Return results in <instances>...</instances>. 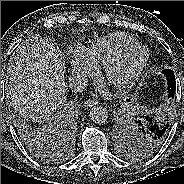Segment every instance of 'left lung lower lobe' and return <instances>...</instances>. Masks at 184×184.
<instances>
[{
	"mask_svg": "<svg viewBox=\"0 0 184 184\" xmlns=\"http://www.w3.org/2000/svg\"><path fill=\"white\" fill-rule=\"evenodd\" d=\"M163 73L167 79V84H168L167 89H168L169 97L174 98L175 90H176L174 72L170 69H165L163 70ZM135 117L145 119L148 125V129L152 131L154 134L158 135L159 137L168 136L170 128H171V123L169 122L168 117L166 116V113L165 114L163 113H159V114L158 113H150V114L139 113ZM129 128L128 130H124L122 133L124 134L126 139L129 137Z\"/></svg>",
	"mask_w": 184,
	"mask_h": 184,
	"instance_id": "0a47b994",
	"label": "left lung lower lobe"
}]
</instances>
